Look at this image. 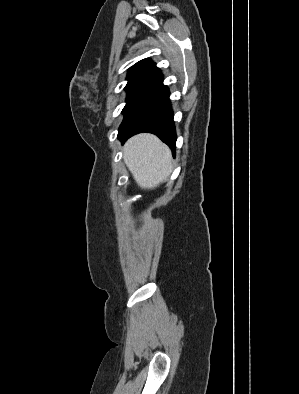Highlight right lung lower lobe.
<instances>
[{"label":"right lung lower lobe","instance_id":"1","mask_svg":"<svg viewBox=\"0 0 299 394\" xmlns=\"http://www.w3.org/2000/svg\"><path fill=\"white\" fill-rule=\"evenodd\" d=\"M169 94L168 87L160 82L138 98L119 128L118 138L122 143L137 133L150 132L166 143L174 154L176 133Z\"/></svg>","mask_w":299,"mask_h":394}]
</instances>
